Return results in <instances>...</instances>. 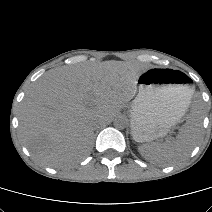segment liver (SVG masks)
Listing matches in <instances>:
<instances>
[{
  "label": "liver",
  "mask_w": 212,
  "mask_h": 212,
  "mask_svg": "<svg viewBox=\"0 0 212 212\" xmlns=\"http://www.w3.org/2000/svg\"><path fill=\"white\" fill-rule=\"evenodd\" d=\"M143 71L137 63L114 60L50 70L34 83L20 107L22 142L36 161L50 167L86 157L94 126L128 105Z\"/></svg>",
  "instance_id": "1"
}]
</instances>
